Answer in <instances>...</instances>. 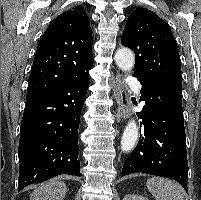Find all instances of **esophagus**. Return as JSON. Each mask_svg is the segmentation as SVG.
<instances>
[{"label":"esophagus","instance_id":"esophagus-1","mask_svg":"<svg viewBox=\"0 0 201 200\" xmlns=\"http://www.w3.org/2000/svg\"><path fill=\"white\" fill-rule=\"evenodd\" d=\"M114 85L116 88V100H117V105H116V114L118 118L121 119H126L128 115L124 111V108L126 107L128 103V97L125 89L124 82L120 76V74H117L115 79H114Z\"/></svg>","mask_w":201,"mask_h":200}]
</instances>
